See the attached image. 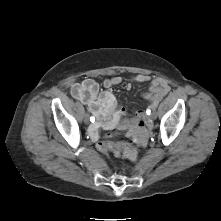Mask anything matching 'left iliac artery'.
<instances>
[{
  "label": "left iliac artery",
  "mask_w": 221,
  "mask_h": 221,
  "mask_svg": "<svg viewBox=\"0 0 221 221\" xmlns=\"http://www.w3.org/2000/svg\"><path fill=\"white\" fill-rule=\"evenodd\" d=\"M151 108L155 109V105H153ZM147 113L150 114V110H148Z\"/></svg>",
  "instance_id": "1"
}]
</instances>
